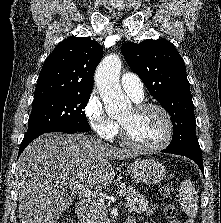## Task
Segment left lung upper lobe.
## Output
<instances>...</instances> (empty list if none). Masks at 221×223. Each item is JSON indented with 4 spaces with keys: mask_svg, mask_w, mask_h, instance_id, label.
<instances>
[{
    "mask_svg": "<svg viewBox=\"0 0 221 223\" xmlns=\"http://www.w3.org/2000/svg\"><path fill=\"white\" fill-rule=\"evenodd\" d=\"M121 52L172 118L173 137L168 147L199 146L185 63L174 45L165 39H148L139 44L125 43Z\"/></svg>",
    "mask_w": 221,
    "mask_h": 223,
    "instance_id": "5c2ea615",
    "label": "left lung upper lobe"
}]
</instances>
